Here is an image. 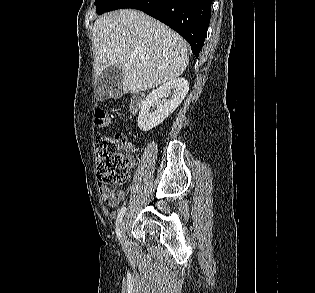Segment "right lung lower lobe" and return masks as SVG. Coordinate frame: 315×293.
<instances>
[{"label":"right lung lower lobe","mask_w":315,"mask_h":293,"mask_svg":"<svg viewBox=\"0 0 315 293\" xmlns=\"http://www.w3.org/2000/svg\"><path fill=\"white\" fill-rule=\"evenodd\" d=\"M212 0H115L106 10H141L165 23L189 44L198 57L203 47L211 16Z\"/></svg>","instance_id":"right-lung-lower-lobe-1"}]
</instances>
